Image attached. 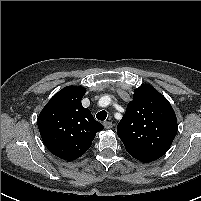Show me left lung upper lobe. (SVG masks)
<instances>
[{"mask_svg": "<svg viewBox=\"0 0 201 201\" xmlns=\"http://www.w3.org/2000/svg\"><path fill=\"white\" fill-rule=\"evenodd\" d=\"M134 92L117 126V135L132 157L148 163L170 148L177 133V119L171 104L154 87L143 84Z\"/></svg>", "mask_w": 201, "mask_h": 201, "instance_id": "obj_1", "label": "left lung upper lobe"}]
</instances>
